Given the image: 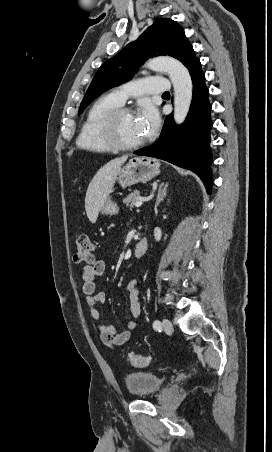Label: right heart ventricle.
I'll return each instance as SVG.
<instances>
[{
	"label": "right heart ventricle",
	"instance_id": "obj_1",
	"mask_svg": "<svg viewBox=\"0 0 272 452\" xmlns=\"http://www.w3.org/2000/svg\"><path fill=\"white\" fill-rule=\"evenodd\" d=\"M121 105L111 94L97 98L89 107L81 124L76 140L77 146L90 152H110L112 148L106 143L101 132V121L110 110Z\"/></svg>",
	"mask_w": 272,
	"mask_h": 452
}]
</instances>
